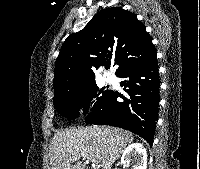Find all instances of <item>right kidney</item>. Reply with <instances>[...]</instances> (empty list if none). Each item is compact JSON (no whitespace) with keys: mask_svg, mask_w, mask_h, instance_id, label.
I'll list each match as a JSON object with an SVG mask.
<instances>
[{"mask_svg":"<svg viewBox=\"0 0 200 169\" xmlns=\"http://www.w3.org/2000/svg\"><path fill=\"white\" fill-rule=\"evenodd\" d=\"M131 157H134L135 161L133 169L147 168V151L143 144L133 143L129 145L122 154L121 163L125 166L129 165Z\"/></svg>","mask_w":200,"mask_h":169,"instance_id":"obj_1","label":"right kidney"}]
</instances>
